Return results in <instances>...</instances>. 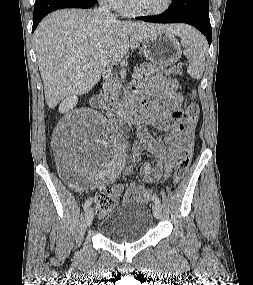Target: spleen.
Instances as JSON below:
<instances>
[{"label":"spleen","instance_id":"obj_1","mask_svg":"<svg viewBox=\"0 0 253 285\" xmlns=\"http://www.w3.org/2000/svg\"><path fill=\"white\" fill-rule=\"evenodd\" d=\"M180 36L183 53L189 62L187 73L193 79L200 80L206 66L205 51L208 48L206 39L191 27L183 31Z\"/></svg>","mask_w":253,"mask_h":285}]
</instances>
